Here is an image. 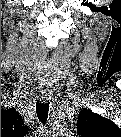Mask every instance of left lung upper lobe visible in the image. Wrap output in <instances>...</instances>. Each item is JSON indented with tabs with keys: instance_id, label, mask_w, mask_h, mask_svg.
<instances>
[{
	"instance_id": "1",
	"label": "left lung upper lobe",
	"mask_w": 121,
	"mask_h": 137,
	"mask_svg": "<svg viewBox=\"0 0 121 137\" xmlns=\"http://www.w3.org/2000/svg\"><path fill=\"white\" fill-rule=\"evenodd\" d=\"M77 131L82 136H121V130L114 122L85 109L79 113Z\"/></svg>"
}]
</instances>
